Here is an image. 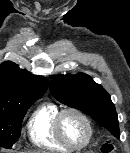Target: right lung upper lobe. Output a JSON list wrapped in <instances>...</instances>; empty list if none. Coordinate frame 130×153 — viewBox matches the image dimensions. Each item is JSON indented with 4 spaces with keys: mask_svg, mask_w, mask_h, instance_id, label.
<instances>
[{
    "mask_svg": "<svg viewBox=\"0 0 130 153\" xmlns=\"http://www.w3.org/2000/svg\"><path fill=\"white\" fill-rule=\"evenodd\" d=\"M48 85L46 78L6 61L0 65V107H20L34 102L46 92Z\"/></svg>",
    "mask_w": 130,
    "mask_h": 153,
    "instance_id": "right-lung-upper-lobe-1",
    "label": "right lung upper lobe"
}]
</instances>
